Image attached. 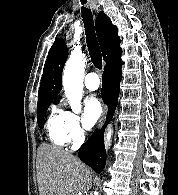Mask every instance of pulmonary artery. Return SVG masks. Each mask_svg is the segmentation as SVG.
Returning <instances> with one entry per match:
<instances>
[{
  "mask_svg": "<svg viewBox=\"0 0 178 195\" xmlns=\"http://www.w3.org/2000/svg\"><path fill=\"white\" fill-rule=\"evenodd\" d=\"M85 86L87 89L94 91L100 87V79L94 72L88 73L85 77Z\"/></svg>",
  "mask_w": 178,
  "mask_h": 195,
  "instance_id": "obj_1",
  "label": "pulmonary artery"
}]
</instances>
